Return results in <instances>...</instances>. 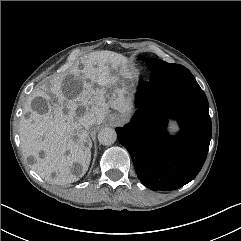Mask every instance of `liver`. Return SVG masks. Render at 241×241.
<instances>
[{
	"instance_id": "liver-1",
	"label": "liver",
	"mask_w": 241,
	"mask_h": 241,
	"mask_svg": "<svg viewBox=\"0 0 241 241\" xmlns=\"http://www.w3.org/2000/svg\"><path fill=\"white\" fill-rule=\"evenodd\" d=\"M126 63L127 59L121 54L96 52L91 54L82 70L74 66L70 76L55 78L50 88L42 86L33 92L25 106L29 117L21 118L20 139L25 156L35 159L31 168L42 178L65 185L79 180L88 170L92 141L88 131L79 124L83 111L93 113L97 125L103 122L109 107L125 116L130 114L131 104L130 99L125 98L126 88L116 90L112 96L109 93L119 75L129 77ZM112 70L119 73L113 74ZM78 83L83 90L74 96L68 93V89L76 88ZM48 90L56 103H53ZM38 98L46 101L47 110L39 112L32 108V100ZM40 152L44 153L42 158ZM75 164L81 167L77 174L73 172Z\"/></svg>"
}]
</instances>
